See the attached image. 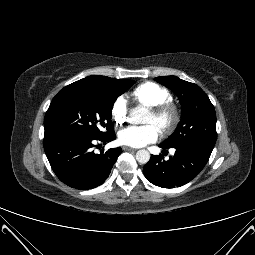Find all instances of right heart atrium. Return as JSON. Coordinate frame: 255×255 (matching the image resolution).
<instances>
[{
    "mask_svg": "<svg viewBox=\"0 0 255 255\" xmlns=\"http://www.w3.org/2000/svg\"><path fill=\"white\" fill-rule=\"evenodd\" d=\"M111 116L117 125H122L128 118V106L123 97H118L111 106Z\"/></svg>",
    "mask_w": 255,
    "mask_h": 255,
    "instance_id": "1",
    "label": "right heart atrium"
}]
</instances>
